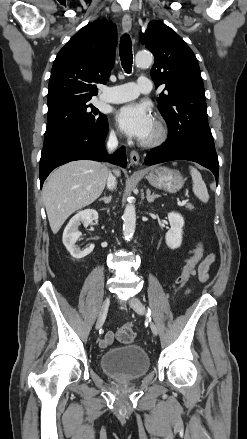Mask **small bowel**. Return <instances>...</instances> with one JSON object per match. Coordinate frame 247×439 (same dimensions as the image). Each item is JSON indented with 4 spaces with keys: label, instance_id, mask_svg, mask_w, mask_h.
Wrapping results in <instances>:
<instances>
[{
    "label": "small bowel",
    "instance_id": "c3829d8e",
    "mask_svg": "<svg viewBox=\"0 0 247 439\" xmlns=\"http://www.w3.org/2000/svg\"><path fill=\"white\" fill-rule=\"evenodd\" d=\"M215 261V255L209 254L200 263L198 267V275L201 281H206L209 277L210 270ZM114 335L112 332H107L104 337L99 341V345L102 348H106L113 342Z\"/></svg>",
    "mask_w": 247,
    "mask_h": 439
}]
</instances>
